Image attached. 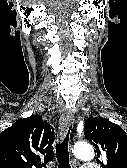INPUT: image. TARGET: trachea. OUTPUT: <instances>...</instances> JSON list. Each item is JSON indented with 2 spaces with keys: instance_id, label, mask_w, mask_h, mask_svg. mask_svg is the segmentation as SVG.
<instances>
[{
  "instance_id": "3493384b",
  "label": "trachea",
  "mask_w": 127,
  "mask_h": 168,
  "mask_svg": "<svg viewBox=\"0 0 127 168\" xmlns=\"http://www.w3.org/2000/svg\"><path fill=\"white\" fill-rule=\"evenodd\" d=\"M71 127L65 138L56 145V158L58 161V168H71L69 163L68 140Z\"/></svg>"
}]
</instances>
